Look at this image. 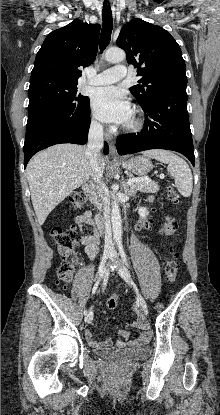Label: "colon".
<instances>
[{
  "instance_id": "5ec220e1",
  "label": "colon",
  "mask_w": 220,
  "mask_h": 415,
  "mask_svg": "<svg viewBox=\"0 0 220 415\" xmlns=\"http://www.w3.org/2000/svg\"><path fill=\"white\" fill-rule=\"evenodd\" d=\"M168 199L172 203L179 202V195L174 189H169ZM88 202L87 195L84 191H75L70 195V209L73 211L82 210ZM177 228L176 221L171 217H166L161 223L160 232L164 236H171L174 234ZM51 235L55 241V249L57 254L63 259V262L57 269V276L63 285L68 284L71 281L74 266L70 261V258L78 247L79 240L78 234L74 228L66 229L60 226H54L51 231ZM178 273V265L173 257L167 259L164 267V274L169 282L175 281ZM119 296L117 294L111 295L106 306L109 310H113L117 307ZM143 339H149L150 334L148 332L142 333Z\"/></svg>"
}]
</instances>
